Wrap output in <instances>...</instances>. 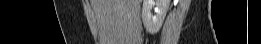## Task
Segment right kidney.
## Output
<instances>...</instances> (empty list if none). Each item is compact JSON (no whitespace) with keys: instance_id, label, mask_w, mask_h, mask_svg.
Masks as SVG:
<instances>
[{"instance_id":"right-kidney-1","label":"right kidney","mask_w":261,"mask_h":44,"mask_svg":"<svg viewBox=\"0 0 261 44\" xmlns=\"http://www.w3.org/2000/svg\"><path fill=\"white\" fill-rule=\"evenodd\" d=\"M170 0H144L142 8V21L146 31L155 34L161 28L169 8ZM154 13H152L153 6Z\"/></svg>"}]
</instances>
